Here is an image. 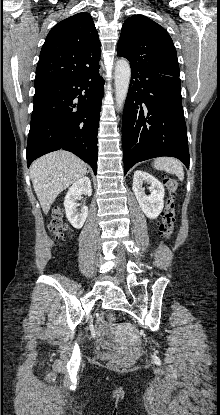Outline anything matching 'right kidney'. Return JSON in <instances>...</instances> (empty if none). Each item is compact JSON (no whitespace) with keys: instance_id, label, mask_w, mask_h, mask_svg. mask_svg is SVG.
<instances>
[{"instance_id":"1","label":"right kidney","mask_w":220,"mask_h":415,"mask_svg":"<svg viewBox=\"0 0 220 415\" xmlns=\"http://www.w3.org/2000/svg\"><path fill=\"white\" fill-rule=\"evenodd\" d=\"M82 194L91 196L92 188L91 182L88 177H82L77 180L68 190L65 200L64 207L66 212V217L71 225L80 229L84 225V222L88 215V208L83 206L80 213L77 212V203L76 201L81 198Z\"/></svg>"}]
</instances>
